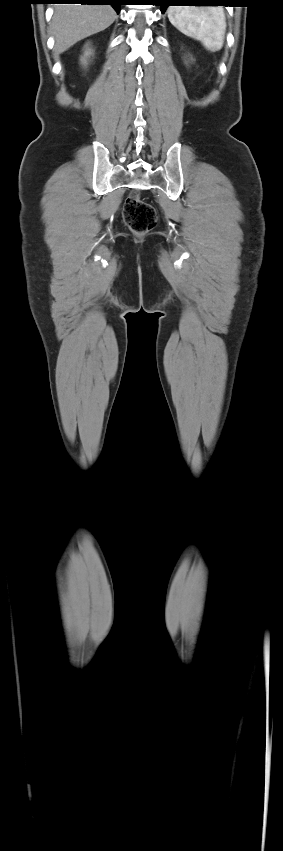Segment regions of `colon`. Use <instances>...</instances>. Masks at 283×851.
Masks as SVG:
<instances>
[{
	"mask_svg": "<svg viewBox=\"0 0 283 851\" xmlns=\"http://www.w3.org/2000/svg\"><path fill=\"white\" fill-rule=\"evenodd\" d=\"M123 220L133 233L142 235L155 227L157 213L151 204L140 198L138 192L132 191L124 204Z\"/></svg>",
	"mask_w": 283,
	"mask_h": 851,
	"instance_id": "1",
	"label": "colon"
}]
</instances>
